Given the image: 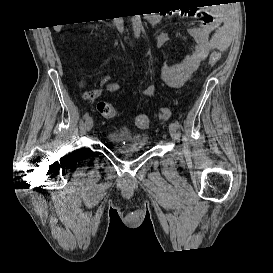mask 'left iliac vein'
<instances>
[{
	"mask_svg": "<svg viewBox=\"0 0 273 273\" xmlns=\"http://www.w3.org/2000/svg\"><path fill=\"white\" fill-rule=\"evenodd\" d=\"M169 133L171 137L174 139L176 137V127L174 123H170L169 125Z\"/></svg>",
	"mask_w": 273,
	"mask_h": 273,
	"instance_id": "obj_1",
	"label": "left iliac vein"
}]
</instances>
